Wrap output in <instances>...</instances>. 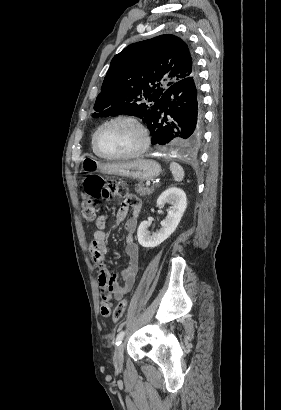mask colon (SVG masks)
Segmentation results:
<instances>
[{
	"label": "colon",
	"instance_id": "5ec220e1",
	"mask_svg": "<svg viewBox=\"0 0 281 410\" xmlns=\"http://www.w3.org/2000/svg\"><path fill=\"white\" fill-rule=\"evenodd\" d=\"M113 192L118 195H126L127 188L124 184L118 183L113 187ZM111 195V192L105 186V181L101 176L91 175L84 180V190L82 193V214L83 217L91 221L95 218L96 214V200L101 198H107ZM128 307V301L122 300L115 307L112 319L115 323L119 322L125 315ZM103 313H108L106 307L103 308Z\"/></svg>",
	"mask_w": 281,
	"mask_h": 410
}]
</instances>
